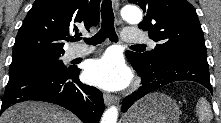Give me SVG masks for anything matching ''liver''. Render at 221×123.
I'll list each match as a JSON object with an SVG mask.
<instances>
[{
	"mask_svg": "<svg viewBox=\"0 0 221 123\" xmlns=\"http://www.w3.org/2000/svg\"><path fill=\"white\" fill-rule=\"evenodd\" d=\"M0 123H80L70 112L54 104L27 101L2 113Z\"/></svg>",
	"mask_w": 221,
	"mask_h": 123,
	"instance_id": "6515ba94",
	"label": "liver"
}]
</instances>
